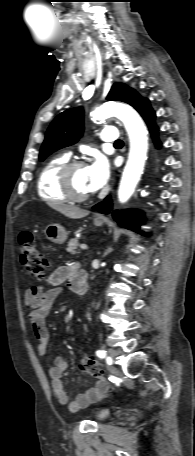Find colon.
Listing matches in <instances>:
<instances>
[{"label":"colon","mask_w":195,"mask_h":456,"mask_svg":"<svg viewBox=\"0 0 195 456\" xmlns=\"http://www.w3.org/2000/svg\"><path fill=\"white\" fill-rule=\"evenodd\" d=\"M19 242L22 265L36 279H44L47 262L40 252L33 234L31 232H23L20 235ZM79 369L83 374L92 378L100 379L103 376L101 365L87 354L81 357Z\"/></svg>","instance_id":"colon-1"}]
</instances>
